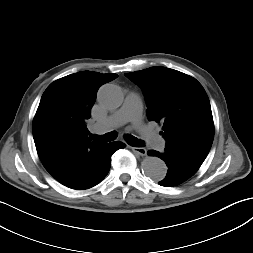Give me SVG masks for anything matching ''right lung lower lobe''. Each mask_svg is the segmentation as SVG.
<instances>
[{
  "mask_svg": "<svg viewBox=\"0 0 253 253\" xmlns=\"http://www.w3.org/2000/svg\"><path fill=\"white\" fill-rule=\"evenodd\" d=\"M124 147L125 144L119 141L104 144L97 154L96 168L93 176L86 182L80 184L79 186L73 189L77 190L88 189L100 183L110 170L111 155L118 149Z\"/></svg>",
  "mask_w": 253,
  "mask_h": 253,
  "instance_id": "obj_1",
  "label": "right lung lower lobe"
}]
</instances>
